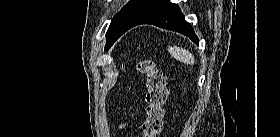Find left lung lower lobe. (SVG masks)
<instances>
[{
  "mask_svg": "<svg viewBox=\"0 0 280 137\" xmlns=\"http://www.w3.org/2000/svg\"><path fill=\"white\" fill-rule=\"evenodd\" d=\"M140 24H151L163 29L179 32L189 37L194 43H199L192 26L185 21L178 5L171 3L170 0H162L154 9L130 28Z\"/></svg>",
  "mask_w": 280,
  "mask_h": 137,
  "instance_id": "left-lung-lower-lobe-1",
  "label": "left lung lower lobe"
}]
</instances>
